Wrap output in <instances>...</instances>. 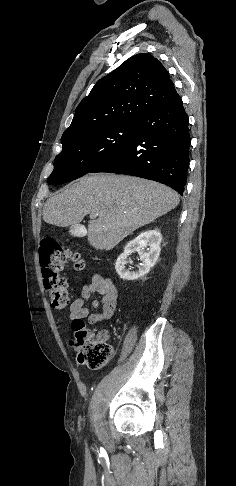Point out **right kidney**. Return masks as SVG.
I'll return each mask as SVG.
<instances>
[{
    "label": "right kidney",
    "instance_id": "obj_1",
    "mask_svg": "<svg viewBox=\"0 0 236 486\" xmlns=\"http://www.w3.org/2000/svg\"><path fill=\"white\" fill-rule=\"evenodd\" d=\"M161 240L162 235L159 231L148 230L130 241L125 246L124 252L118 257L115 264L116 272L120 278L124 280H136L146 275L155 265L159 257ZM146 248L147 250L145 251ZM135 251L140 256L141 264L138 271L130 272L125 269V264H127V257Z\"/></svg>",
    "mask_w": 236,
    "mask_h": 486
}]
</instances>
